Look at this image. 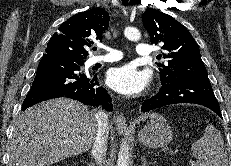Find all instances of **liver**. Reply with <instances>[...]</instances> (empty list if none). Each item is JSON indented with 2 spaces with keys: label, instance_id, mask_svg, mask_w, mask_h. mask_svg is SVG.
Segmentation results:
<instances>
[{
  "label": "liver",
  "instance_id": "liver-1",
  "mask_svg": "<svg viewBox=\"0 0 231 166\" xmlns=\"http://www.w3.org/2000/svg\"><path fill=\"white\" fill-rule=\"evenodd\" d=\"M97 130L95 111L81 103L65 98L42 102L16 121L9 166H48L80 155L92 147Z\"/></svg>",
  "mask_w": 231,
  "mask_h": 166
}]
</instances>
